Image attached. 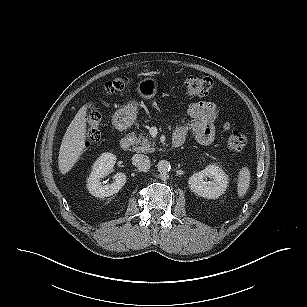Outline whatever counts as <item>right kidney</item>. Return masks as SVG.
I'll list each match as a JSON object with an SVG mask.
<instances>
[{"label":"right kidney","instance_id":"1","mask_svg":"<svg viewBox=\"0 0 307 307\" xmlns=\"http://www.w3.org/2000/svg\"><path fill=\"white\" fill-rule=\"evenodd\" d=\"M116 156L112 153H102L94 162L92 172L87 180L89 193L95 197H109L119 192L126 183V175L122 172L114 175L115 181L111 184L103 185L101 178L105 177L114 167Z\"/></svg>","mask_w":307,"mask_h":307}]
</instances>
